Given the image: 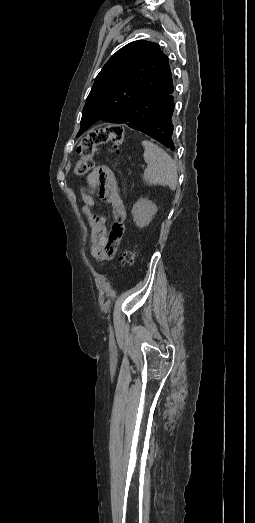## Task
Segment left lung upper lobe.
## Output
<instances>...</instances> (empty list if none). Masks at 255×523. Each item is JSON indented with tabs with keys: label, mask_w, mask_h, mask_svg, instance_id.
I'll return each mask as SVG.
<instances>
[{
	"label": "left lung upper lobe",
	"mask_w": 255,
	"mask_h": 523,
	"mask_svg": "<svg viewBox=\"0 0 255 523\" xmlns=\"http://www.w3.org/2000/svg\"><path fill=\"white\" fill-rule=\"evenodd\" d=\"M173 91L169 59L160 46L145 40L131 42L97 75L77 136L98 120L124 123L130 128L157 121L167 114V106L173 105Z\"/></svg>",
	"instance_id": "left-lung-upper-lobe-1"
}]
</instances>
